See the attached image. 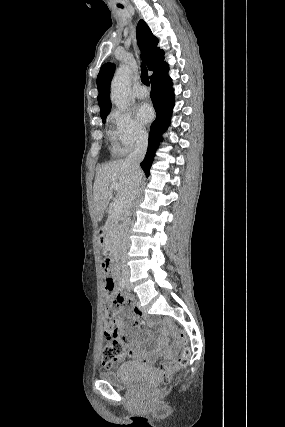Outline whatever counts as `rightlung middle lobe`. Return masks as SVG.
I'll return each instance as SVG.
<instances>
[{"instance_id":"obj_1","label":"right lung middle lobe","mask_w":285,"mask_h":427,"mask_svg":"<svg viewBox=\"0 0 285 427\" xmlns=\"http://www.w3.org/2000/svg\"><path fill=\"white\" fill-rule=\"evenodd\" d=\"M104 119H106V118H102L103 122H104Z\"/></svg>"}]
</instances>
